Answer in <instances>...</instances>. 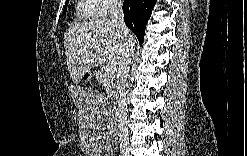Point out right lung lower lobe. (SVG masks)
<instances>
[{"instance_id":"obj_1","label":"right lung lower lobe","mask_w":247,"mask_h":156,"mask_svg":"<svg viewBox=\"0 0 247 156\" xmlns=\"http://www.w3.org/2000/svg\"><path fill=\"white\" fill-rule=\"evenodd\" d=\"M155 2V0H125L123 3L125 24L135 33L141 44Z\"/></svg>"}]
</instances>
